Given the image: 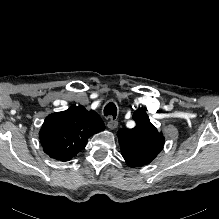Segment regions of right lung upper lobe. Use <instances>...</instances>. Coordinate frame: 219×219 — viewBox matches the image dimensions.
<instances>
[{
    "instance_id": "obj_1",
    "label": "right lung upper lobe",
    "mask_w": 219,
    "mask_h": 219,
    "mask_svg": "<svg viewBox=\"0 0 219 219\" xmlns=\"http://www.w3.org/2000/svg\"><path fill=\"white\" fill-rule=\"evenodd\" d=\"M104 129V122L95 111L73 105L47 116L39 138L47 155L59 161H68L85 147L90 136Z\"/></svg>"
}]
</instances>
